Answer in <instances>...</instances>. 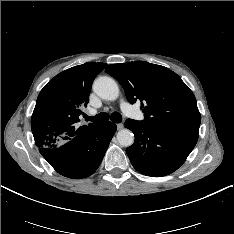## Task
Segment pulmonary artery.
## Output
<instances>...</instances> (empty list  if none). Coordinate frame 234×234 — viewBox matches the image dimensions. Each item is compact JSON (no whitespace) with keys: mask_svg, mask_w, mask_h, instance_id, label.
I'll list each match as a JSON object with an SVG mask.
<instances>
[{"mask_svg":"<svg viewBox=\"0 0 234 234\" xmlns=\"http://www.w3.org/2000/svg\"><path fill=\"white\" fill-rule=\"evenodd\" d=\"M121 108H122V110H123L125 113L130 114V106H129L128 103L122 102V103H121ZM89 113H90L91 115H94V114L96 113V110L92 109V110L89 111Z\"/></svg>","mask_w":234,"mask_h":234,"instance_id":"e3ab8cb5","label":"pulmonary artery"}]
</instances>
